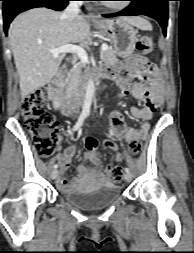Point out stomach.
Wrapping results in <instances>:
<instances>
[{
  "mask_svg": "<svg viewBox=\"0 0 194 253\" xmlns=\"http://www.w3.org/2000/svg\"><path fill=\"white\" fill-rule=\"evenodd\" d=\"M94 25L111 39L113 47L120 57H128L134 52L138 39L137 31L131 24L119 18L98 21Z\"/></svg>",
  "mask_w": 194,
  "mask_h": 253,
  "instance_id": "obj_1",
  "label": "stomach"
}]
</instances>
